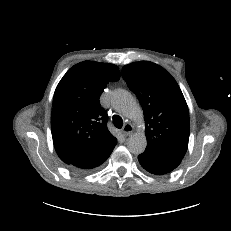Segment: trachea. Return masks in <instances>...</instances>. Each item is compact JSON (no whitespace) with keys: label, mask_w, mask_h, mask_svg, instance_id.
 I'll list each match as a JSON object with an SVG mask.
<instances>
[{"label":"trachea","mask_w":231,"mask_h":231,"mask_svg":"<svg viewBox=\"0 0 231 231\" xmlns=\"http://www.w3.org/2000/svg\"><path fill=\"white\" fill-rule=\"evenodd\" d=\"M113 123L116 126V128H119V129H121L123 126V120L119 115L113 116Z\"/></svg>","instance_id":"3493384b"}]
</instances>
